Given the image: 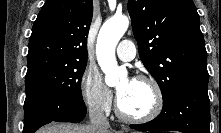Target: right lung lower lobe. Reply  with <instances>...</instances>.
Wrapping results in <instances>:
<instances>
[{"label": "right lung lower lobe", "mask_w": 221, "mask_h": 133, "mask_svg": "<svg viewBox=\"0 0 221 133\" xmlns=\"http://www.w3.org/2000/svg\"><path fill=\"white\" fill-rule=\"evenodd\" d=\"M23 133H34L52 121L78 123L86 115L83 99L53 96L35 87L26 89Z\"/></svg>", "instance_id": "98d812e1"}]
</instances>
